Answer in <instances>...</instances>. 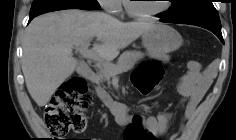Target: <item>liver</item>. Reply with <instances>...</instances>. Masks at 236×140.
<instances>
[{
    "label": "liver",
    "instance_id": "obj_1",
    "mask_svg": "<svg viewBox=\"0 0 236 140\" xmlns=\"http://www.w3.org/2000/svg\"><path fill=\"white\" fill-rule=\"evenodd\" d=\"M153 22L124 23L102 12L77 9L46 13L27 27L23 39L22 72L32 99L39 107L46 105L56 89L78 67L73 46H82L97 38L95 50L102 59L111 61L120 49L129 46Z\"/></svg>",
    "mask_w": 236,
    "mask_h": 140
}]
</instances>
